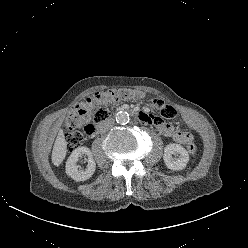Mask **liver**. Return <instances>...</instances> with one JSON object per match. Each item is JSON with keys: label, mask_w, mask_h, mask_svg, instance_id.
Segmentation results:
<instances>
[{"label": "liver", "mask_w": 248, "mask_h": 248, "mask_svg": "<svg viewBox=\"0 0 248 248\" xmlns=\"http://www.w3.org/2000/svg\"><path fill=\"white\" fill-rule=\"evenodd\" d=\"M67 152V142L62 130H59L52 150V163L59 166L64 160Z\"/></svg>", "instance_id": "obj_1"}]
</instances>
